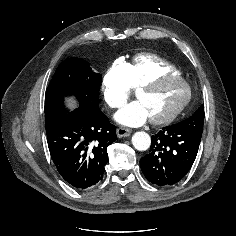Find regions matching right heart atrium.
I'll return each instance as SVG.
<instances>
[{"instance_id":"d8ad5b80","label":"right heart atrium","mask_w":236,"mask_h":236,"mask_svg":"<svg viewBox=\"0 0 236 236\" xmlns=\"http://www.w3.org/2000/svg\"><path fill=\"white\" fill-rule=\"evenodd\" d=\"M128 64L116 60L105 71L102 77L101 90L107 104L112 108H120L131 94L128 84Z\"/></svg>"}]
</instances>
